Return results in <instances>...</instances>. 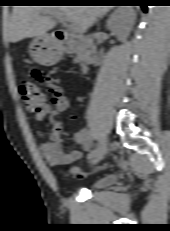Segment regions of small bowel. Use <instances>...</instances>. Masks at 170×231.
Returning <instances> with one entry per match:
<instances>
[{
	"label": "small bowel",
	"instance_id": "c3829d8e",
	"mask_svg": "<svg viewBox=\"0 0 170 231\" xmlns=\"http://www.w3.org/2000/svg\"><path fill=\"white\" fill-rule=\"evenodd\" d=\"M32 78L39 84L46 86L49 92L50 103H43L40 110L35 113L34 122L39 123L45 118H49L52 123V130L47 140L40 146V152L45 162L50 167H59L65 164H71L82 158L80 150L66 152L61 142L62 123L60 114L68 108V100L65 97L61 86L52 83L49 74L42 69H33ZM43 137L41 132L38 133ZM76 143L86 152L92 151L93 142L89 132L83 128L75 133Z\"/></svg>",
	"mask_w": 170,
	"mask_h": 231
}]
</instances>
